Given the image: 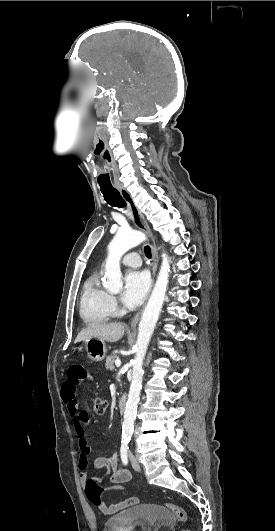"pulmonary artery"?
Instances as JSON below:
<instances>
[{
  "mask_svg": "<svg viewBox=\"0 0 275 531\" xmlns=\"http://www.w3.org/2000/svg\"><path fill=\"white\" fill-rule=\"evenodd\" d=\"M123 262L129 265V268H131L132 266H137L138 268H140V261L136 252H130V256H127L125 259H123Z\"/></svg>",
  "mask_w": 275,
  "mask_h": 531,
  "instance_id": "e3ab8cb5",
  "label": "pulmonary artery"
}]
</instances>
